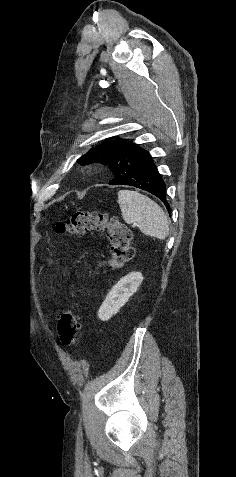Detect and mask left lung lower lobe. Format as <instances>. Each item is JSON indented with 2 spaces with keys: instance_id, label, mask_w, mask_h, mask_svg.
<instances>
[{
  "instance_id": "1",
  "label": "left lung lower lobe",
  "mask_w": 236,
  "mask_h": 477,
  "mask_svg": "<svg viewBox=\"0 0 236 477\" xmlns=\"http://www.w3.org/2000/svg\"><path fill=\"white\" fill-rule=\"evenodd\" d=\"M120 185L134 186L150 192L165 204L170 214V206L165 195V183L148 152L145 151L135 161L129 176Z\"/></svg>"
}]
</instances>
